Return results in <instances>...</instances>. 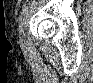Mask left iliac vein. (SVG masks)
I'll return each mask as SVG.
<instances>
[{
    "label": "left iliac vein",
    "instance_id": "4c4485c4",
    "mask_svg": "<svg viewBox=\"0 0 93 83\" xmlns=\"http://www.w3.org/2000/svg\"><path fill=\"white\" fill-rule=\"evenodd\" d=\"M19 34H20V41L23 42L24 41V39H23V37H24L23 25H22V27L19 30Z\"/></svg>",
    "mask_w": 93,
    "mask_h": 83
}]
</instances>
